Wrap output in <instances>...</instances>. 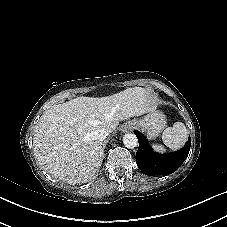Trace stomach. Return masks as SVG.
<instances>
[{
  "mask_svg": "<svg viewBox=\"0 0 227 227\" xmlns=\"http://www.w3.org/2000/svg\"><path fill=\"white\" fill-rule=\"evenodd\" d=\"M134 127L146 133L148 138L154 139L162 132L167 125L166 116L160 111H154L140 120L129 122Z\"/></svg>",
  "mask_w": 227,
  "mask_h": 227,
  "instance_id": "0dacf381",
  "label": "stomach"
}]
</instances>
